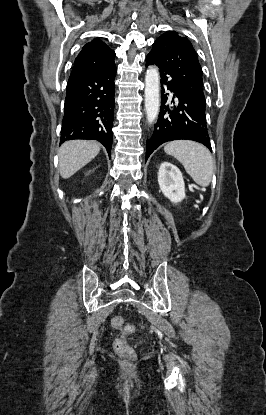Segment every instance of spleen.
I'll return each instance as SVG.
<instances>
[{"label": "spleen", "mask_w": 266, "mask_h": 415, "mask_svg": "<svg viewBox=\"0 0 266 415\" xmlns=\"http://www.w3.org/2000/svg\"><path fill=\"white\" fill-rule=\"evenodd\" d=\"M164 151L182 163L196 184L201 187L210 184L215 162L205 146L194 141H173L164 147Z\"/></svg>", "instance_id": "obj_1"}]
</instances>
